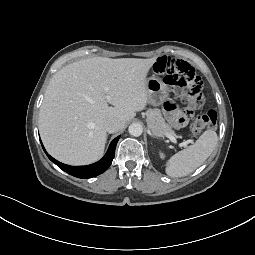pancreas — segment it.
Wrapping results in <instances>:
<instances>
[{
  "instance_id": "1",
  "label": "pancreas",
  "mask_w": 255,
  "mask_h": 255,
  "mask_svg": "<svg viewBox=\"0 0 255 255\" xmlns=\"http://www.w3.org/2000/svg\"><path fill=\"white\" fill-rule=\"evenodd\" d=\"M148 127L157 136H163L165 133L176 136L172 127L167 124L159 109H149L146 112Z\"/></svg>"
}]
</instances>
